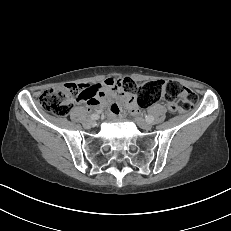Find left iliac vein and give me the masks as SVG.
<instances>
[{
  "label": "left iliac vein",
  "mask_w": 231,
  "mask_h": 231,
  "mask_svg": "<svg viewBox=\"0 0 231 231\" xmlns=\"http://www.w3.org/2000/svg\"><path fill=\"white\" fill-rule=\"evenodd\" d=\"M136 122L142 129L150 130L152 128V125L142 118H137Z\"/></svg>",
  "instance_id": "left-iliac-vein-1"
}]
</instances>
